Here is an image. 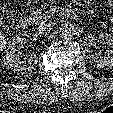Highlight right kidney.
<instances>
[{"mask_svg":"<svg viewBox=\"0 0 113 113\" xmlns=\"http://www.w3.org/2000/svg\"><path fill=\"white\" fill-rule=\"evenodd\" d=\"M24 41L25 38L20 35L13 37L10 41L6 50V55L4 56V64L8 69L16 72L30 71L37 63V56L34 53L30 54L27 60H21L19 45Z\"/></svg>","mask_w":113,"mask_h":113,"instance_id":"1","label":"right kidney"}]
</instances>
